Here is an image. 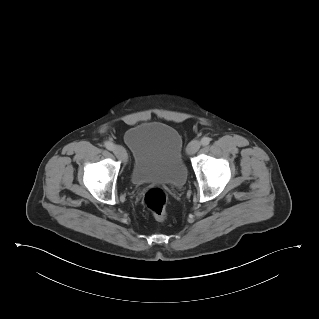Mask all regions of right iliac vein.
I'll list each match as a JSON object with an SVG mask.
<instances>
[{"label":"right iliac vein","instance_id":"63e3f726","mask_svg":"<svg viewBox=\"0 0 319 319\" xmlns=\"http://www.w3.org/2000/svg\"><path fill=\"white\" fill-rule=\"evenodd\" d=\"M113 152L116 155V157L120 159L121 161L123 162L127 161V154L125 149L122 146L120 145L114 146Z\"/></svg>","mask_w":319,"mask_h":319}]
</instances>
